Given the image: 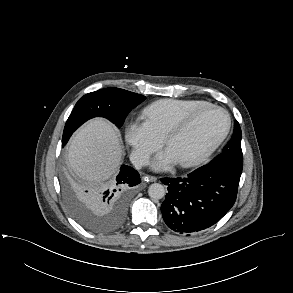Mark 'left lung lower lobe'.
<instances>
[{
  "label": "left lung lower lobe",
  "mask_w": 293,
  "mask_h": 293,
  "mask_svg": "<svg viewBox=\"0 0 293 293\" xmlns=\"http://www.w3.org/2000/svg\"><path fill=\"white\" fill-rule=\"evenodd\" d=\"M241 174L207 164L181 178H162L168 194L161 205L167 226L190 235L218 222L236 201Z\"/></svg>",
  "instance_id": "obj_1"
}]
</instances>
